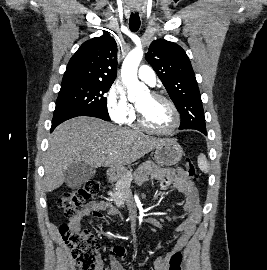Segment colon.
<instances>
[{"label":"colon","instance_id":"obj_1","mask_svg":"<svg viewBox=\"0 0 267 270\" xmlns=\"http://www.w3.org/2000/svg\"><path fill=\"white\" fill-rule=\"evenodd\" d=\"M185 169L190 181L198 180V172L192 159H186ZM98 191L99 185L97 182H86L64 192L59 199V206L66 215L73 216L78 208L96 195ZM60 234L79 270H101L100 243L91 230L82 229L80 226H72L70 223H63L60 225ZM182 264L181 251L175 252L170 257L168 270H182Z\"/></svg>","mask_w":267,"mask_h":270}]
</instances>
